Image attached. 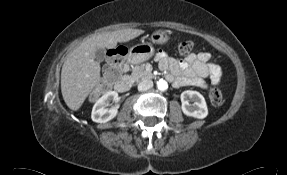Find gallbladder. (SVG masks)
<instances>
[{
    "label": "gallbladder",
    "instance_id": "gallbladder-1",
    "mask_svg": "<svg viewBox=\"0 0 287 175\" xmlns=\"http://www.w3.org/2000/svg\"><path fill=\"white\" fill-rule=\"evenodd\" d=\"M106 58V51L104 48H98L95 53V59L102 62Z\"/></svg>",
    "mask_w": 287,
    "mask_h": 175
}]
</instances>
